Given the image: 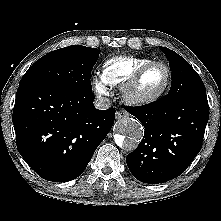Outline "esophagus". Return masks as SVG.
I'll return each mask as SVG.
<instances>
[{
    "label": "esophagus",
    "mask_w": 221,
    "mask_h": 221,
    "mask_svg": "<svg viewBox=\"0 0 221 221\" xmlns=\"http://www.w3.org/2000/svg\"><path fill=\"white\" fill-rule=\"evenodd\" d=\"M127 116H129V113L122 109L118 110L115 114L116 119H121Z\"/></svg>",
    "instance_id": "1"
}]
</instances>
